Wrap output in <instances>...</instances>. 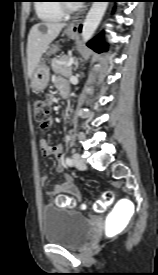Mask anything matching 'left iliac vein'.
Returning a JSON list of instances; mask_svg holds the SVG:
<instances>
[{"label": "left iliac vein", "instance_id": "4c4485c4", "mask_svg": "<svg viewBox=\"0 0 158 275\" xmlns=\"http://www.w3.org/2000/svg\"><path fill=\"white\" fill-rule=\"evenodd\" d=\"M73 162L74 166L79 169V170H85L86 169V164L85 161L81 158L79 154H74L73 155Z\"/></svg>", "mask_w": 158, "mask_h": 275}]
</instances>
